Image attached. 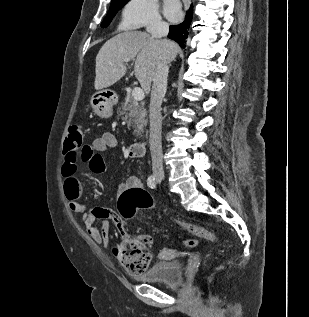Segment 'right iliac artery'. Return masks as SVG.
<instances>
[{
    "mask_svg": "<svg viewBox=\"0 0 309 317\" xmlns=\"http://www.w3.org/2000/svg\"><path fill=\"white\" fill-rule=\"evenodd\" d=\"M147 184L150 188L155 189L156 188V180L153 175H150L147 179Z\"/></svg>",
    "mask_w": 309,
    "mask_h": 317,
    "instance_id": "right-iliac-artery-1",
    "label": "right iliac artery"
}]
</instances>
